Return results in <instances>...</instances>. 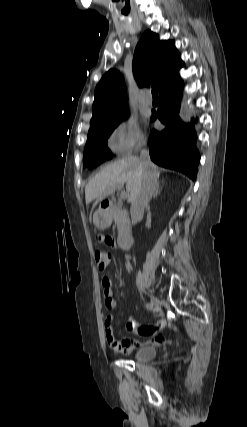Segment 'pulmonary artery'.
Instances as JSON below:
<instances>
[{
    "instance_id": "e3ab8cb5",
    "label": "pulmonary artery",
    "mask_w": 247,
    "mask_h": 427,
    "mask_svg": "<svg viewBox=\"0 0 247 427\" xmlns=\"http://www.w3.org/2000/svg\"><path fill=\"white\" fill-rule=\"evenodd\" d=\"M140 103L145 106H149L152 103V98L148 95H143L140 98Z\"/></svg>"
}]
</instances>
